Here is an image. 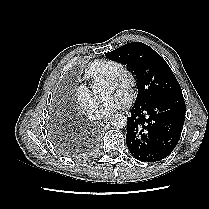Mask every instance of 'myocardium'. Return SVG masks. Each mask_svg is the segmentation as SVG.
<instances>
[{"instance_id":"f54148a6","label":"myocardium","mask_w":209,"mask_h":209,"mask_svg":"<svg viewBox=\"0 0 209 209\" xmlns=\"http://www.w3.org/2000/svg\"><path fill=\"white\" fill-rule=\"evenodd\" d=\"M107 81L116 88L130 93L136 85V76L128 67L119 66L110 76H108Z\"/></svg>"}]
</instances>
